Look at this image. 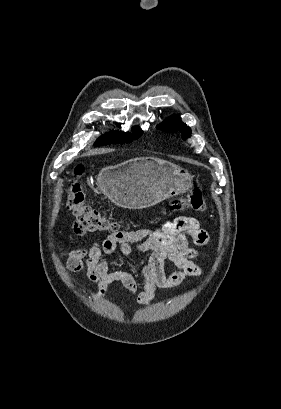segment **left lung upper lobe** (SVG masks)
Returning <instances> with one entry per match:
<instances>
[{
    "label": "left lung upper lobe",
    "mask_w": 281,
    "mask_h": 409,
    "mask_svg": "<svg viewBox=\"0 0 281 409\" xmlns=\"http://www.w3.org/2000/svg\"><path fill=\"white\" fill-rule=\"evenodd\" d=\"M157 128L166 132L180 131L183 138H188L191 135L190 128L187 127L186 124L181 122L178 115L170 116L163 123L158 125Z\"/></svg>",
    "instance_id": "5c2ea615"
}]
</instances>
